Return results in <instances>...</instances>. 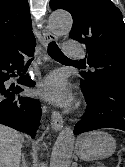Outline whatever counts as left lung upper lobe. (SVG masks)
I'll return each instance as SVG.
<instances>
[{
	"label": "left lung upper lobe",
	"instance_id": "left-lung-upper-lobe-1",
	"mask_svg": "<svg viewBox=\"0 0 125 167\" xmlns=\"http://www.w3.org/2000/svg\"><path fill=\"white\" fill-rule=\"evenodd\" d=\"M53 10L71 13L70 38L84 43L94 72H81V87L92 93L101 83L125 82V23L111 0H50Z\"/></svg>",
	"mask_w": 125,
	"mask_h": 167
}]
</instances>
